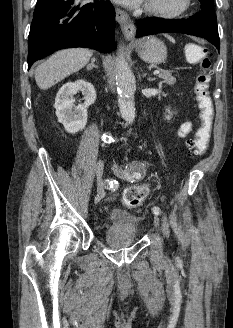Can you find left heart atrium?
Returning a JSON list of instances; mask_svg holds the SVG:
<instances>
[{"label": "left heart atrium", "mask_w": 233, "mask_h": 328, "mask_svg": "<svg viewBox=\"0 0 233 328\" xmlns=\"http://www.w3.org/2000/svg\"><path fill=\"white\" fill-rule=\"evenodd\" d=\"M113 1L127 7L135 8L140 6L145 1H149V0H113Z\"/></svg>", "instance_id": "left-heart-atrium-1"}]
</instances>
